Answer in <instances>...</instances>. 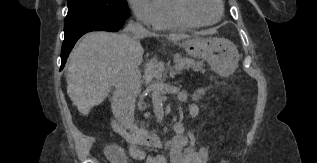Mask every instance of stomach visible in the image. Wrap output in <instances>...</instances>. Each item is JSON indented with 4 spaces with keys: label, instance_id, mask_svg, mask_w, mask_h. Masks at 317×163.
<instances>
[{
    "label": "stomach",
    "instance_id": "stomach-1",
    "mask_svg": "<svg viewBox=\"0 0 317 163\" xmlns=\"http://www.w3.org/2000/svg\"><path fill=\"white\" fill-rule=\"evenodd\" d=\"M179 46L195 58L208 61L211 67L222 75H229L238 66L239 54L235 45L223 38H193Z\"/></svg>",
    "mask_w": 317,
    "mask_h": 163
}]
</instances>
